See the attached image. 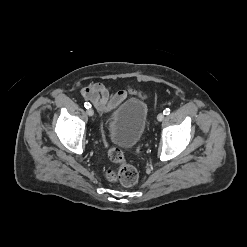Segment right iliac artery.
<instances>
[{"label": "right iliac artery", "instance_id": "obj_1", "mask_svg": "<svg viewBox=\"0 0 247 247\" xmlns=\"http://www.w3.org/2000/svg\"><path fill=\"white\" fill-rule=\"evenodd\" d=\"M84 106H85L87 109H89V108L91 107V104H90L89 102H85V103H84Z\"/></svg>", "mask_w": 247, "mask_h": 247}]
</instances>
